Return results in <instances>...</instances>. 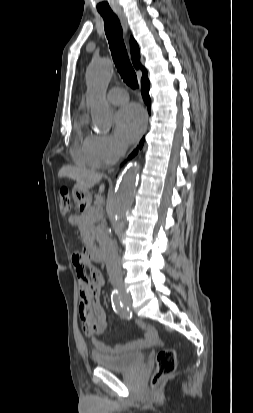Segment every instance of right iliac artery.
Returning <instances> with one entry per match:
<instances>
[{"mask_svg":"<svg viewBox=\"0 0 253 413\" xmlns=\"http://www.w3.org/2000/svg\"><path fill=\"white\" fill-rule=\"evenodd\" d=\"M111 302L113 310L120 315L122 318L129 319L131 318V313L128 308H126L120 298V295L117 290H114L111 294Z\"/></svg>","mask_w":253,"mask_h":413,"instance_id":"right-iliac-artery-1","label":"right iliac artery"}]
</instances>
